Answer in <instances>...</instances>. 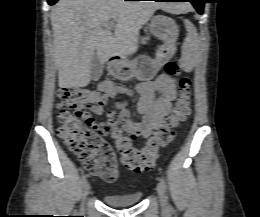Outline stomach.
Returning <instances> with one entry per match:
<instances>
[{
	"mask_svg": "<svg viewBox=\"0 0 260 217\" xmlns=\"http://www.w3.org/2000/svg\"><path fill=\"white\" fill-rule=\"evenodd\" d=\"M150 30L163 42L158 47L155 58L141 57L134 61L124 59L111 63L115 77L124 80L135 77L139 81H150L160 67L174 56L178 37V27L174 20L164 15H156L151 19Z\"/></svg>",
	"mask_w": 260,
	"mask_h": 217,
	"instance_id": "stomach-1",
	"label": "stomach"
}]
</instances>
